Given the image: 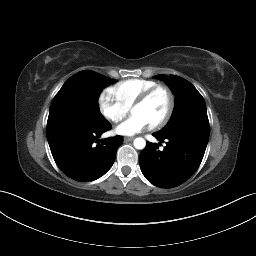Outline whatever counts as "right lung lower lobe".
I'll use <instances>...</instances> for the list:
<instances>
[{"instance_id":"1","label":"right lung lower lobe","mask_w":256,"mask_h":256,"mask_svg":"<svg viewBox=\"0 0 256 256\" xmlns=\"http://www.w3.org/2000/svg\"><path fill=\"white\" fill-rule=\"evenodd\" d=\"M110 128L109 122L98 126L47 123V139L60 170L79 182L93 181L104 175L113 165L116 151L123 142L121 136H115L98 143L100 135Z\"/></svg>"}]
</instances>
